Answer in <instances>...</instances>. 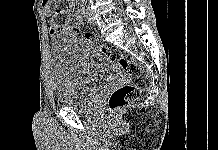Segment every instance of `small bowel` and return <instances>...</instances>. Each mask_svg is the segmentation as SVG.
<instances>
[{"label": "small bowel", "instance_id": "small-bowel-1", "mask_svg": "<svg viewBox=\"0 0 218 150\" xmlns=\"http://www.w3.org/2000/svg\"><path fill=\"white\" fill-rule=\"evenodd\" d=\"M61 0H43L42 9L45 15L49 18V33L52 36L62 35L68 32L66 25L58 24L53 18V7H59ZM70 8L74 7L75 0H67ZM57 12H62V10H57Z\"/></svg>", "mask_w": 218, "mask_h": 150}]
</instances>
